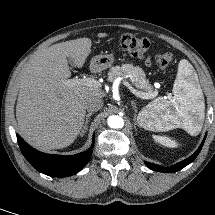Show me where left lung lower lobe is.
Here are the masks:
<instances>
[{"label":"left lung lower lobe","mask_w":215,"mask_h":215,"mask_svg":"<svg viewBox=\"0 0 215 215\" xmlns=\"http://www.w3.org/2000/svg\"><path fill=\"white\" fill-rule=\"evenodd\" d=\"M205 138H206V136L204 137L203 142L201 143V145L199 146V148L193 155H191L189 158H187L175 165H172L171 167H162V166H159V165H156L153 163H147V162H145V164L148 165V167L154 171L165 172V173L177 172L195 160V158L198 156V154L200 153V151L202 149Z\"/></svg>","instance_id":"1"}]
</instances>
